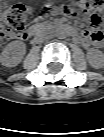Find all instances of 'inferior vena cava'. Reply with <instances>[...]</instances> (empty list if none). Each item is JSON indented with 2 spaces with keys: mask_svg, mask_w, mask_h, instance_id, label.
I'll return each instance as SVG.
<instances>
[{
  "mask_svg": "<svg viewBox=\"0 0 104 137\" xmlns=\"http://www.w3.org/2000/svg\"><path fill=\"white\" fill-rule=\"evenodd\" d=\"M36 40L39 43L45 44V43H47L48 38L45 35L39 34V35H37Z\"/></svg>",
  "mask_w": 104,
  "mask_h": 137,
  "instance_id": "inferior-vena-cava-1",
  "label": "inferior vena cava"
}]
</instances>
